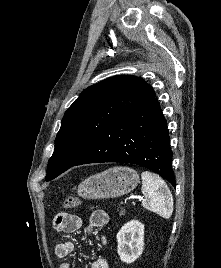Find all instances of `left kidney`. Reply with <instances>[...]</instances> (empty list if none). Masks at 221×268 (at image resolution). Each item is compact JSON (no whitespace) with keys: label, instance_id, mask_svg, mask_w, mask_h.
<instances>
[{"label":"left kidney","instance_id":"1","mask_svg":"<svg viewBox=\"0 0 221 268\" xmlns=\"http://www.w3.org/2000/svg\"><path fill=\"white\" fill-rule=\"evenodd\" d=\"M117 252L122 262L130 264L134 262L144 249V225L132 220L117 233Z\"/></svg>","mask_w":221,"mask_h":268}]
</instances>
